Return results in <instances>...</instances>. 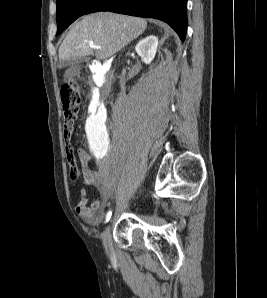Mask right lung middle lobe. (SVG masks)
<instances>
[{
	"label": "right lung middle lobe",
	"mask_w": 267,
	"mask_h": 298,
	"mask_svg": "<svg viewBox=\"0 0 267 298\" xmlns=\"http://www.w3.org/2000/svg\"><path fill=\"white\" fill-rule=\"evenodd\" d=\"M101 0H56L57 35L78 17L90 13Z\"/></svg>",
	"instance_id": "right-lung-middle-lobe-1"
}]
</instances>
